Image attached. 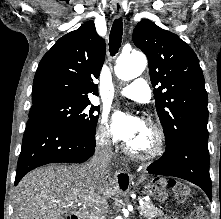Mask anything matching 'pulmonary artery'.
Masks as SVG:
<instances>
[{"label":"pulmonary artery","mask_w":221,"mask_h":219,"mask_svg":"<svg viewBox=\"0 0 221 219\" xmlns=\"http://www.w3.org/2000/svg\"><path fill=\"white\" fill-rule=\"evenodd\" d=\"M118 93L141 103H147L151 98L150 89L142 78H137L131 84L120 88Z\"/></svg>","instance_id":"e3ab8cb5"}]
</instances>
